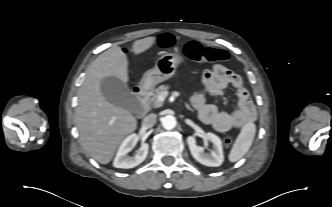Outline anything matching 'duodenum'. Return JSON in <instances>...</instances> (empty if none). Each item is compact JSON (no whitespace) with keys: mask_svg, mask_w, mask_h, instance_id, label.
Listing matches in <instances>:
<instances>
[{"mask_svg":"<svg viewBox=\"0 0 332 207\" xmlns=\"http://www.w3.org/2000/svg\"><path fill=\"white\" fill-rule=\"evenodd\" d=\"M135 97L141 105L140 117L146 115L148 111V98H149V88L145 86L138 87L135 90Z\"/></svg>","mask_w":332,"mask_h":207,"instance_id":"obj_1","label":"duodenum"}]
</instances>
